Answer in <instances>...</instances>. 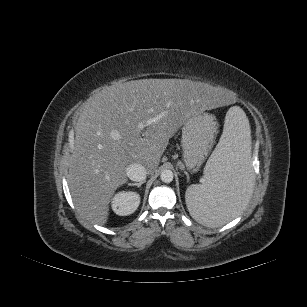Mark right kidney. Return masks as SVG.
Masks as SVG:
<instances>
[{"mask_svg":"<svg viewBox=\"0 0 307 307\" xmlns=\"http://www.w3.org/2000/svg\"><path fill=\"white\" fill-rule=\"evenodd\" d=\"M140 204V195L132 191L118 192L112 200L113 211L120 216H127L136 211Z\"/></svg>","mask_w":307,"mask_h":307,"instance_id":"obj_1","label":"right kidney"}]
</instances>
